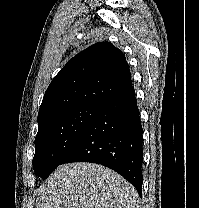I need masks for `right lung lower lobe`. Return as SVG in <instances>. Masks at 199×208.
Wrapping results in <instances>:
<instances>
[{"instance_id": "1", "label": "right lung lower lobe", "mask_w": 199, "mask_h": 208, "mask_svg": "<svg viewBox=\"0 0 199 208\" xmlns=\"http://www.w3.org/2000/svg\"><path fill=\"white\" fill-rule=\"evenodd\" d=\"M92 162L121 174L142 195V125L134 87L103 103L61 164Z\"/></svg>"}]
</instances>
